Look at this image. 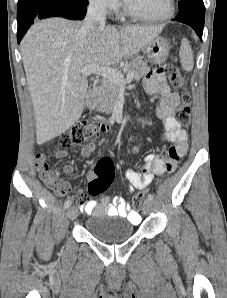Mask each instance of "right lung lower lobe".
<instances>
[{
    "instance_id": "obj_1",
    "label": "right lung lower lobe",
    "mask_w": 227,
    "mask_h": 298,
    "mask_svg": "<svg viewBox=\"0 0 227 298\" xmlns=\"http://www.w3.org/2000/svg\"><path fill=\"white\" fill-rule=\"evenodd\" d=\"M87 5L71 0H40L17 12V41H21L34 20L48 17H64L82 20L86 15Z\"/></svg>"
}]
</instances>
